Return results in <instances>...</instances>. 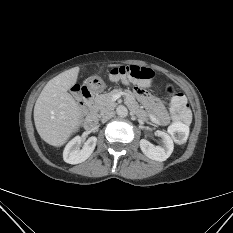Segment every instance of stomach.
Instances as JSON below:
<instances>
[{
    "label": "stomach",
    "mask_w": 233,
    "mask_h": 233,
    "mask_svg": "<svg viewBox=\"0 0 233 233\" xmlns=\"http://www.w3.org/2000/svg\"><path fill=\"white\" fill-rule=\"evenodd\" d=\"M87 87L94 93L101 92L105 84L103 80L98 76H91L86 80Z\"/></svg>",
    "instance_id": "obj_1"
}]
</instances>
